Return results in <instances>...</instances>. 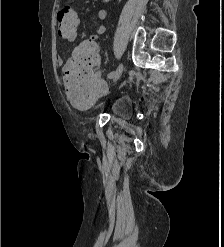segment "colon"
<instances>
[{
  "label": "colon",
  "instance_id": "obj_1",
  "mask_svg": "<svg viewBox=\"0 0 224 247\" xmlns=\"http://www.w3.org/2000/svg\"><path fill=\"white\" fill-rule=\"evenodd\" d=\"M79 19L69 6L57 14L59 35L69 38L77 33ZM70 101L77 107H90L104 89L100 71L99 50L94 42L81 43L75 50L63 72Z\"/></svg>",
  "mask_w": 224,
  "mask_h": 247
}]
</instances>
